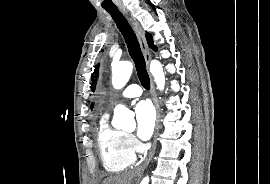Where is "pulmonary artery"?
Segmentation results:
<instances>
[{
    "mask_svg": "<svg viewBox=\"0 0 270 184\" xmlns=\"http://www.w3.org/2000/svg\"><path fill=\"white\" fill-rule=\"evenodd\" d=\"M142 94V89L137 84H131L127 86L124 91L121 93V98H134L139 97Z\"/></svg>",
    "mask_w": 270,
    "mask_h": 184,
    "instance_id": "e3ab8cb5",
    "label": "pulmonary artery"
}]
</instances>
